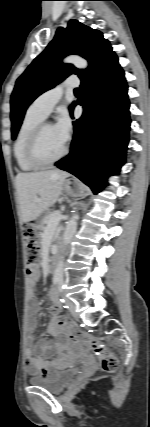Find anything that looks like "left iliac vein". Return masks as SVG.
I'll list each match as a JSON object with an SVG mask.
<instances>
[{
    "mask_svg": "<svg viewBox=\"0 0 150 427\" xmlns=\"http://www.w3.org/2000/svg\"><path fill=\"white\" fill-rule=\"evenodd\" d=\"M64 299H65V303L68 306L70 313L73 315V317L78 318V314L76 312V306H75L74 302L72 300H70L69 298H64Z\"/></svg>",
    "mask_w": 150,
    "mask_h": 427,
    "instance_id": "4c4485c4",
    "label": "left iliac vein"
}]
</instances>
